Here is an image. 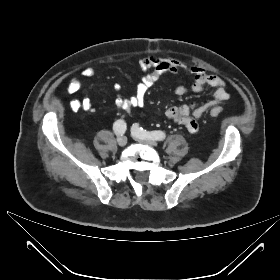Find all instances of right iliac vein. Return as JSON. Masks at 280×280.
Returning <instances> with one entry per match:
<instances>
[{
  "label": "right iliac vein",
  "instance_id": "right-iliac-vein-1",
  "mask_svg": "<svg viewBox=\"0 0 280 280\" xmlns=\"http://www.w3.org/2000/svg\"><path fill=\"white\" fill-rule=\"evenodd\" d=\"M117 143L119 146L124 147L127 144V137L122 135L117 138Z\"/></svg>",
  "mask_w": 280,
  "mask_h": 280
}]
</instances>
